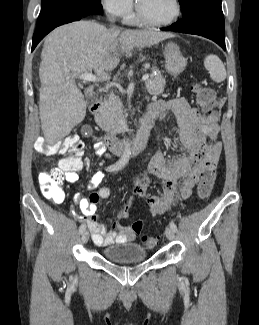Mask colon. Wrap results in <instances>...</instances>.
I'll return each mask as SVG.
<instances>
[{
	"label": "colon",
	"mask_w": 259,
	"mask_h": 325,
	"mask_svg": "<svg viewBox=\"0 0 259 325\" xmlns=\"http://www.w3.org/2000/svg\"><path fill=\"white\" fill-rule=\"evenodd\" d=\"M192 91L197 103L210 119V128H215L217 109L219 106L216 93L211 88L201 83L194 84L192 86ZM35 148L38 152L46 155L56 153L66 154L63 159V164H59V167L40 173L38 177L40 190L44 197L55 203H60L64 198L62 186L65 179V169L75 166L76 160L81 157L83 144L78 136L69 135L55 143H47L43 138H38L35 142ZM215 178V170H207L202 174L198 184V197L201 200L205 201L209 198ZM131 206V202L125 203L120 210L119 217H127ZM131 228L135 233L140 234L143 230V222L141 220H136L132 223ZM141 241L147 248H153L157 243L156 238L146 234L142 236Z\"/></svg>",
	"instance_id": "5ec220e1"
}]
</instances>
